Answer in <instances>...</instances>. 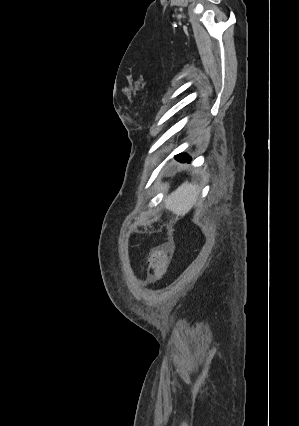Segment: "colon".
<instances>
[{
  "label": "colon",
  "mask_w": 299,
  "mask_h": 426,
  "mask_svg": "<svg viewBox=\"0 0 299 426\" xmlns=\"http://www.w3.org/2000/svg\"><path fill=\"white\" fill-rule=\"evenodd\" d=\"M167 264V245L161 244L154 247L149 256L150 278L152 281H158L164 277L167 271Z\"/></svg>",
  "instance_id": "colon-1"
}]
</instances>
